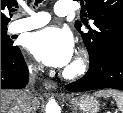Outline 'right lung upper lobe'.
Segmentation results:
<instances>
[{
	"instance_id": "1",
	"label": "right lung upper lobe",
	"mask_w": 123,
	"mask_h": 113,
	"mask_svg": "<svg viewBox=\"0 0 123 113\" xmlns=\"http://www.w3.org/2000/svg\"><path fill=\"white\" fill-rule=\"evenodd\" d=\"M17 2L15 0H1V27H6L10 19L8 16H12L11 9Z\"/></svg>"
}]
</instances>
